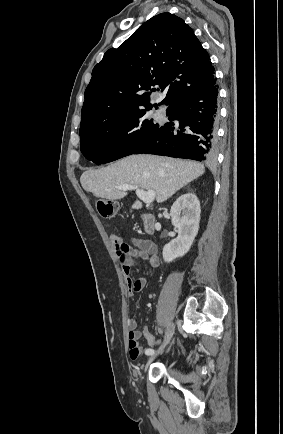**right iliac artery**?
<instances>
[{
    "mask_svg": "<svg viewBox=\"0 0 283 434\" xmlns=\"http://www.w3.org/2000/svg\"><path fill=\"white\" fill-rule=\"evenodd\" d=\"M145 354L146 355H153L154 354V350L151 349V348H148V349L145 350Z\"/></svg>",
    "mask_w": 283,
    "mask_h": 434,
    "instance_id": "82829eb1",
    "label": "right iliac artery"
}]
</instances>
